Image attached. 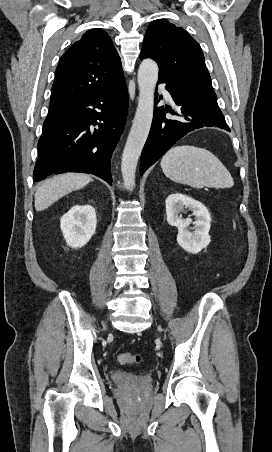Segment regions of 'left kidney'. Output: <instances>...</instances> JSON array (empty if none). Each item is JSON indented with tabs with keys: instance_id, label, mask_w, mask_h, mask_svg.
I'll use <instances>...</instances> for the list:
<instances>
[{
	"instance_id": "5707ae66",
	"label": "left kidney",
	"mask_w": 272,
	"mask_h": 452,
	"mask_svg": "<svg viewBox=\"0 0 272 452\" xmlns=\"http://www.w3.org/2000/svg\"><path fill=\"white\" fill-rule=\"evenodd\" d=\"M167 222L178 228L177 242L187 252L197 254L211 242L209 235L211 216L207 208L199 201L181 193L170 194L166 201ZM188 208L195 216L183 219L179 213ZM193 227L190 228V224ZM194 230L193 232H190Z\"/></svg>"
}]
</instances>
